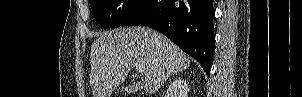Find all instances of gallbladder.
<instances>
[{
    "instance_id": "1",
    "label": "gallbladder",
    "mask_w": 302,
    "mask_h": 97,
    "mask_svg": "<svg viewBox=\"0 0 302 97\" xmlns=\"http://www.w3.org/2000/svg\"><path fill=\"white\" fill-rule=\"evenodd\" d=\"M124 90L128 93H132V92H135L137 90V88L136 87H125Z\"/></svg>"
}]
</instances>
